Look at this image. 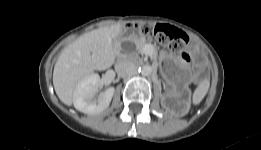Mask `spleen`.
I'll list each match as a JSON object with an SVG mask.
<instances>
[{
    "label": "spleen",
    "instance_id": "1",
    "mask_svg": "<svg viewBox=\"0 0 261 150\" xmlns=\"http://www.w3.org/2000/svg\"><path fill=\"white\" fill-rule=\"evenodd\" d=\"M209 86L210 83L208 81H204L199 84V86L193 93V97H192L193 104L197 105L202 101V99L205 97V95L208 92Z\"/></svg>",
    "mask_w": 261,
    "mask_h": 150
}]
</instances>
